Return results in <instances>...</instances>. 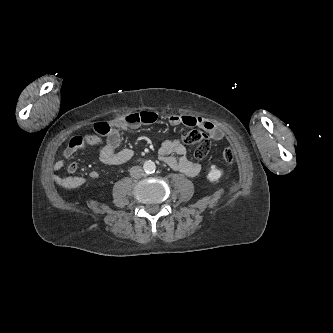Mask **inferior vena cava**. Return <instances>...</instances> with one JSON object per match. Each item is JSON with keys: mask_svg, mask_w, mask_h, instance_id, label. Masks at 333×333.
<instances>
[{"mask_svg": "<svg viewBox=\"0 0 333 333\" xmlns=\"http://www.w3.org/2000/svg\"><path fill=\"white\" fill-rule=\"evenodd\" d=\"M144 172L143 169L140 166H133L130 169V175L133 178L139 179L143 176Z\"/></svg>", "mask_w": 333, "mask_h": 333, "instance_id": "602c4592", "label": "inferior vena cava"}]
</instances>
